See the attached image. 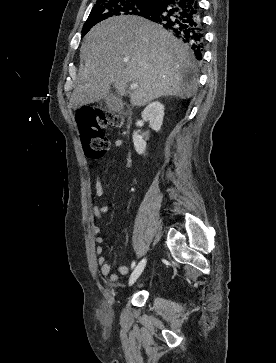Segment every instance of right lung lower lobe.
Returning <instances> with one entry per match:
<instances>
[{"label":"right lung lower lobe","mask_w":276,"mask_h":363,"mask_svg":"<svg viewBox=\"0 0 276 363\" xmlns=\"http://www.w3.org/2000/svg\"><path fill=\"white\" fill-rule=\"evenodd\" d=\"M142 17L149 19L187 42L201 59L204 42L203 22L198 0H160Z\"/></svg>","instance_id":"98d812e1"}]
</instances>
